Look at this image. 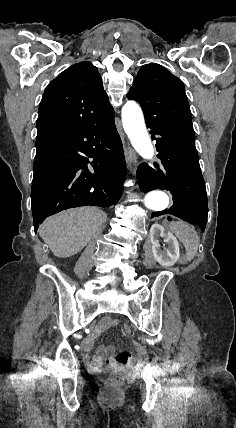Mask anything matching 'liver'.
I'll return each instance as SVG.
<instances>
[{"mask_svg": "<svg viewBox=\"0 0 236 428\" xmlns=\"http://www.w3.org/2000/svg\"><path fill=\"white\" fill-rule=\"evenodd\" d=\"M106 220L99 208H72L46 218L38 232L54 256L70 258L87 246Z\"/></svg>", "mask_w": 236, "mask_h": 428, "instance_id": "obj_1", "label": "liver"}]
</instances>
